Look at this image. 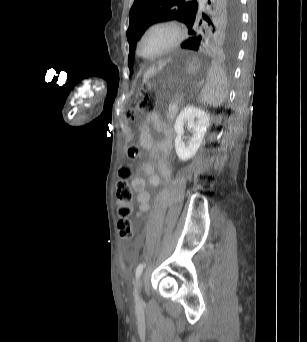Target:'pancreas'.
I'll list each match as a JSON object with an SVG mask.
<instances>
[{
  "instance_id": "1",
  "label": "pancreas",
  "mask_w": 307,
  "mask_h": 342,
  "mask_svg": "<svg viewBox=\"0 0 307 342\" xmlns=\"http://www.w3.org/2000/svg\"><path fill=\"white\" fill-rule=\"evenodd\" d=\"M181 103V98L180 97H173L172 98V103H170L169 107L165 111V116L166 117H175L176 116V111L178 108L177 104Z\"/></svg>"
}]
</instances>
